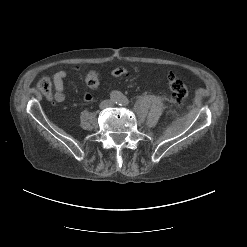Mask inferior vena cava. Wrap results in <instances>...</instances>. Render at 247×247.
Here are the masks:
<instances>
[{"mask_svg": "<svg viewBox=\"0 0 247 247\" xmlns=\"http://www.w3.org/2000/svg\"><path fill=\"white\" fill-rule=\"evenodd\" d=\"M111 102L109 100H104L100 103V108H106L110 106Z\"/></svg>", "mask_w": 247, "mask_h": 247, "instance_id": "inferior-vena-cava-1", "label": "inferior vena cava"}]
</instances>
